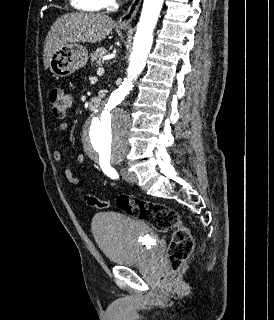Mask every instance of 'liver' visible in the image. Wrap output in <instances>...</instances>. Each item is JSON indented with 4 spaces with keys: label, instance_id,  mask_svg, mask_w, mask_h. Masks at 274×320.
Segmentation results:
<instances>
[{
    "label": "liver",
    "instance_id": "liver-1",
    "mask_svg": "<svg viewBox=\"0 0 274 320\" xmlns=\"http://www.w3.org/2000/svg\"><path fill=\"white\" fill-rule=\"evenodd\" d=\"M114 20L102 14L81 12V14H64L51 26L44 44V66L49 68L50 58L60 48L77 46L79 42H102L114 28Z\"/></svg>",
    "mask_w": 274,
    "mask_h": 320
}]
</instances>
